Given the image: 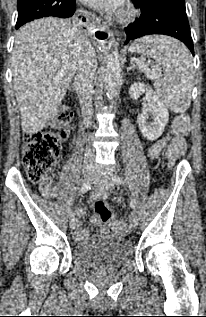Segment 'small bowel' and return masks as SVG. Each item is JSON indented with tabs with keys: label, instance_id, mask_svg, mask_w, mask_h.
<instances>
[{
	"label": "small bowel",
	"instance_id": "small-bowel-1",
	"mask_svg": "<svg viewBox=\"0 0 206 317\" xmlns=\"http://www.w3.org/2000/svg\"><path fill=\"white\" fill-rule=\"evenodd\" d=\"M170 140V137L169 136H164L162 138H160L158 141H156L148 150V156L150 158H157L161 152L163 151L164 147L166 146L167 142ZM51 195L54 196L56 195V189H54L52 192H51ZM107 196V193L100 189V188H95L93 190V192L91 193V197L93 199H97V198H103V197H106ZM86 213V211L84 209H81V208H78L77 209V214L79 216H82ZM91 222L94 224V225H98L100 222H99V219L97 218H92L91 219ZM101 231L102 232H107L109 231V227L107 226H102L101 227ZM88 235V231L87 230H84L82 229L79 225L75 231V238L80 240V239H83L85 238L86 236Z\"/></svg>",
	"mask_w": 206,
	"mask_h": 317
}]
</instances>
